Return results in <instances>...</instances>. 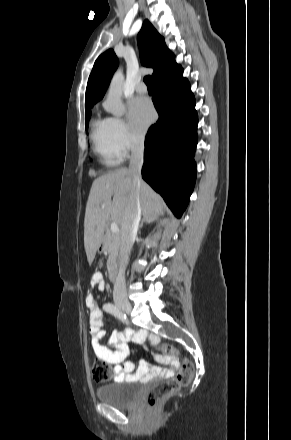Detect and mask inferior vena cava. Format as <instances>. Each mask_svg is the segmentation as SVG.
<instances>
[{"label":"inferior vena cava","instance_id":"inferior-vena-cava-1","mask_svg":"<svg viewBox=\"0 0 291 440\" xmlns=\"http://www.w3.org/2000/svg\"><path fill=\"white\" fill-rule=\"evenodd\" d=\"M144 138L134 141L129 164V171L133 178L134 192L128 206L126 207L121 223V245H120V267L114 284L113 300L115 303H126L127 293L125 285V268L128 263L129 254L137 235L141 219V208L139 202V187L141 183V169L143 165Z\"/></svg>","mask_w":291,"mask_h":440}]
</instances>
